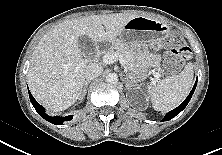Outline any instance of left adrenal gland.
I'll list each match as a JSON object with an SVG mask.
<instances>
[{
	"instance_id": "a2214340",
	"label": "left adrenal gland",
	"mask_w": 222,
	"mask_h": 155,
	"mask_svg": "<svg viewBox=\"0 0 222 155\" xmlns=\"http://www.w3.org/2000/svg\"><path fill=\"white\" fill-rule=\"evenodd\" d=\"M125 80H126V84H127V86L129 87V80H128V78L125 77ZM137 88H139V87H137Z\"/></svg>"
}]
</instances>
